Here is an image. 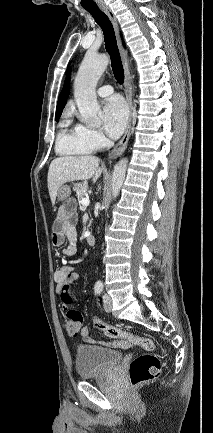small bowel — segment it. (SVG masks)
I'll return each mask as SVG.
<instances>
[{"label": "small bowel", "instance_id": "obj_1", "mask_svg": "<svg viewBox=\"0 0 213 433\" xmlns=\"http://www.w3.org/2000/svg\"><path fill=\"white\" fill-rule=\"evenodd\" d=\"M76 221L77 216L75 212L68 207H62L54 222L52 243L54 246H62L64 242L67 241V245L61 250V254L64 257H72L77 252ZM76 277L77 274L74 272V268L66 261L62 267L54 273V280L57 285L58 293L62 295L63 291L73 283ZM62 305L66 314L71 310H76L64 301ZM80 334L84 341L95 343V339L90 336V331L87 327H83ZM103 344L112 348H126L128 345L126 342L121 340L107 343L104 342Z\"/></svg>", "mask_w": 213, "mask_h": 433}]
</instances>
